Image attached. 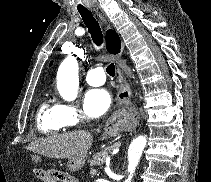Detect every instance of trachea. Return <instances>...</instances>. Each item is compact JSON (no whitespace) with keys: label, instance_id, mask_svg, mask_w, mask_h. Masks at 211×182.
<instances>
[{"label":"trachea","instance_id":"1","mask_svg":"<svg viewBox=\"0 0 211 182\" xmlns=\"http://www.w3.org/2000/svg\"><path fill=\"white\" fill-rule=\"evenodd\" d=\"M79 13L83 19L84 24L88 28V32L91 35V38L93 42L100 46L103 43V34L101 31V28L99 26V23L96 21V19L93 17V14L89 10H79ZM106 72L110 76L115 75V66L114 63H111L107 66Z\"/></svg>","mask_w":211,"mask_h":182}]
</instances>
